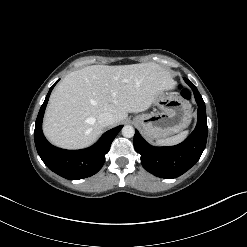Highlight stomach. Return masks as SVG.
<instances>
[{"label":"stomach","instance_id":"1","mask_svg":"<svg viewBox=\"0 0 247 247\" xmlns=\"http://www.w3.org/2000/svg\"><path fill=\"white\" fill-rule=\"evenodd\" d=\"M154 105L158 110L134 118L136 125L150 139L167 138L184 130L191 122L190 104L176 93L160 91Z\"/></svg>","mask_w":247,"mask_h":247}]
</instances>
